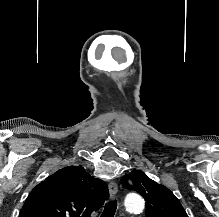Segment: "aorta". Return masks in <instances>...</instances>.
Returning <instances> with one entry per match:
<instances>
[{"label":"aorta","mask_w":219,"mask_h":217,"mask_svg":"<svg viewBox=\"0 0 219 217\" xmlns=\"http://www.w3.org/2000/svg\"><path fill=\"white\" fill-rule=\"evenodd\" d=\"M125 206L130 212H141L145 204L141 196L129 195L125 200Z\"/></svg>","instance_id":"1"}]
</instances>
